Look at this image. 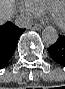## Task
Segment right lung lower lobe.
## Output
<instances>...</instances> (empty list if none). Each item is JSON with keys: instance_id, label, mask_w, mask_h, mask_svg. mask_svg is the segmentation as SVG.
Instances as JSON below:
<instances>
[{"instance_id": "right-lung-lower-lobe-1", "label": "right lung lower lobe", "mask_w": 65, "mask_h": 89, "mask_svg": "<svg viewBox=\"0 0 65 89\" xmlns=\"http://www.w3.org/2000/svg\"><path fill=\"white\" fill-rule=\"evenodd\" d=\"M24 31L25 29L18 28L11 22L0 26V69L8 64Z\"/></svg>"}]
</instances>
